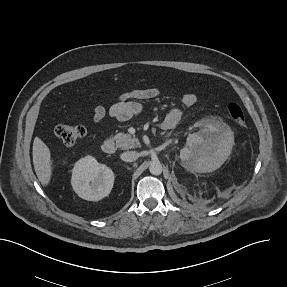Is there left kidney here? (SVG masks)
I'll list each match as a JSON object with an SVG mask.
<instances>
[{"label": "left kidney", "mask_w": 287, "mask_h": 287, "mask_svg": "<svg viewBox=\"0 0 287 287\" xmlns=\"http://www.w3.org/2000/svg\"><path fill=\"white\" fill-rule=\"evenodd\" d=\"M206 128L187 138V146L180 150V159L189 170L212 172L226 161L231 153L234 136L225 126L208 123Z\"/></svg>", "instance_id": "left-kidney-1"}]
</instances>
